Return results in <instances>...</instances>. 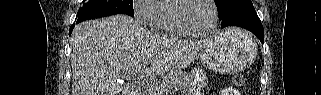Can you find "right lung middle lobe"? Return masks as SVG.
Listing matches in <instances>:
<instances>
[{
	"mask_svg": "<svg viewBox=\"0 0 321 95\" xmlns=\"http://www.w3.org/2000/svg\"><path fill=\"white\" fill-rule=\"evenodd\" d=\"M115 14L134 16L133 0H83L77 23Z\"/></svg>",
	"mask_w": 321,
	"mask_h": 95,
	"instance_id": "dd1d6c3e",
	"label": "right lung middle lobe"
}]
</instances>
